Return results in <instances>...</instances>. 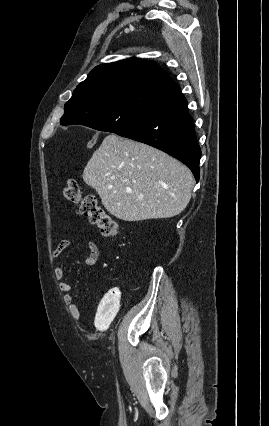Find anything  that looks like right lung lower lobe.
Wrapping results in <instances>:
<instances>
[{"label":"right lung lower lobe","instance_id":"1","mask_svg":"<svg viewBox=\"0 0 269 426\" xmlns=\"http://www.w3.org/2000/svg\"><path fill=\"white\" fill-rule=\"evenodd\" d=\"M115 134L168 153L188 166L199 181L201 150L186 98L177 84L164 89L141 119Z\"/></svg>","mask_w":269,"mask_h":426}]
</instances>
